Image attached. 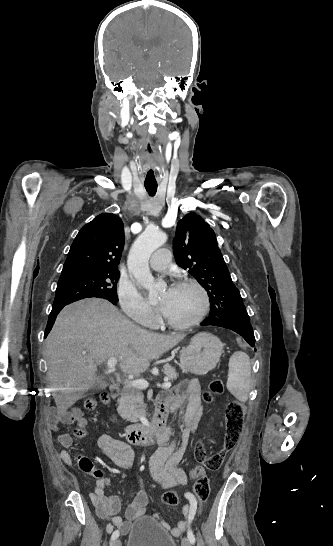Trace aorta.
<instances>
[{"label": "aorta", "mask_w": 333, "mask_h": 546, "mask_svg": "<svg viewBox=\"0 0 333 546\" xmlns=\"http://www.w3.org/2000/svg\"><path fill=\"white\" fill-rule=\"evenodd\" d=\"M167 240L164 233L155 227H148L133 243L128 255V270L136 279L138 285L147 289L149 297L157 296L156 284L149 268L151 254Z\"/></svg>", "instance_id": "762f6f07"}]
</instances>
